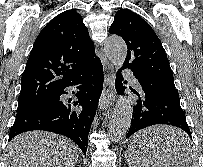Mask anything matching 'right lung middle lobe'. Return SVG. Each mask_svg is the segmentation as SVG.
<instances>
[{"label":"right lung middle lobe","mask_w":203,"mask_h":167,"mask_svg":"<svg viewBox=\"0 0 203 167\" xmlns=\"http://www.w3.org/2000/svg\"><path fill=\"white\" fill-rule=\"evenodd\" d=\"M51 100H52V98H50V99H46V100H42V101L37 102V103L32 104V105L18 106V108H17V113L20 112V111H23V110H25V109H28V108H31V107L37 106V105L45 104V103H47V102H50Z\"/></svg>","instance_id":"obj_1"}]
</instances>
